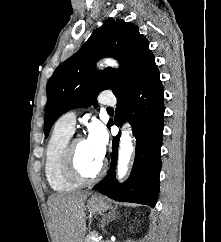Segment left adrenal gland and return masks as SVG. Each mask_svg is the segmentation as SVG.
Wrapping results in <instances>:
<instances>
[{
    "label": "left adrenal gland",
    "mask_w": 221,
    "mask_h": 242,
    "mask_svg": "<svg viewBox=\"0 0 221 242\" xmlns=\"http://www.w3.org/2000/svg\"><path fill=\"white\" fill-rule=\"evenodd\" d=\"M115 218H117L116 215H115V212H110L108 215H106L102 218L101 226L103 227V231H105L104 230L105 224H108L110 221L114 220Z\"/></svg>",
    "instance_id": "a2214340"
}]
</instances>
